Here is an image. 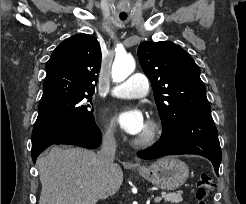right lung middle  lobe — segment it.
<instances>
[{
	"instance_id": "dd1d6c3e",
	"label": "right lung middle lobe",
	"mask_w": 246,
	"mask_h": 204,
	"mask_svg": "<svg viewBox=\"0 0 246 204\" xmlns=\"http://www.w3.org/2000/svg\"><path fill=\"white\" fill-rule=\"evenodd\" d=\"M92 94L68 93L40 101L37 120L49 119L62 123H90L93 121L92 110H90Z\"/></svg>"
}]
</instances>
